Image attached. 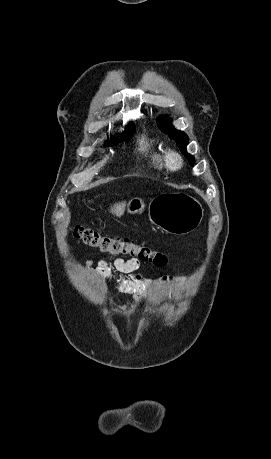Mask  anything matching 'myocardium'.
Instances as JSON below:
<instances>
[{"instance_id":"f54148a6","label":"myocardium","mask_w":271,"mask_h":459,"mask_svg":"<svg viewBox=\"0 0 271 459\" xmlns=\"http://www.w3.org/2000/svg\"><path fill=\"white\" fill-rule=\"evenodd\" d=\"M165 162L172 171L180 170L185 162L183 154L176 148H169L165 151Z\"/></svg>"}]
</instances>
